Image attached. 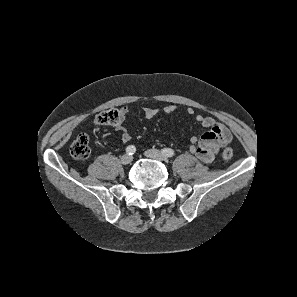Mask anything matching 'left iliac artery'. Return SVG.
<instances>
[{"label":"left iliac artery","instance_id":"left-iliac-artery-1","mask_svg":"<svg viewBox=\"0 0 297 297\" xmlns=\"http://www.w3.org/2000/svg\"><path fill=\"white\" fill-rule=\"evenodd\" d=\"M162 153L167 156V157H172L175 155L174 150L170 149V148H165L162 150Z\"/></svg>","mask_w":297,"mask_h":297}]
</instances>
